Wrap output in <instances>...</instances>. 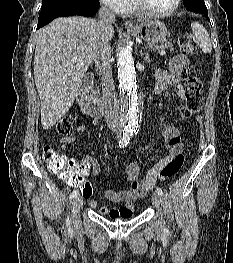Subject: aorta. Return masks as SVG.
I'll return each instance as SVG.
<instances>
[{
  "instance_id": "762f6f07",
  "label": "aorta",
  "mask_w": 233,
  "mask_h": 263,
  "mask_svg": "<svg viewBox=\"0 0 233 263\" xmlns=\"http://www.w3.org/2000/svg\"><path fill=\"white\" fill-rule=\"evenodd\" d=\"M117 66L122 117L125 125L131 131H136L141 115L142 92L136 81V71L130 49L123 48L119 52Z\"/></svg>"
}]
</instances>
